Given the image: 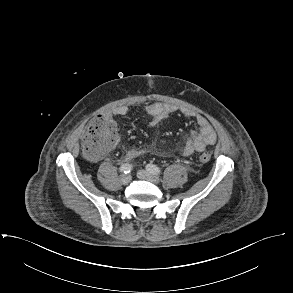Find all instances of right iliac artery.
Returning a JSON list of instances; mask_svg holds the SVG:
<instances>
[{
    "label": "right iliac artery",
    "instance_id": "right-iliac-artery-1",
    "mask_svg": "<svg viewBox=\"0 0 293 293\" xmlns=\"http://www.w3.org/2000/svg\"><path fill=\"white\" fill-rule=\"evenodd\" d=\"M131 170H132V165H130L128 163H125V164L121 165V167H120V171L125 174L130 173Z\"/></svg>",
    "mask_w": 293,
    "mask_h": 293
}]
</instances>
